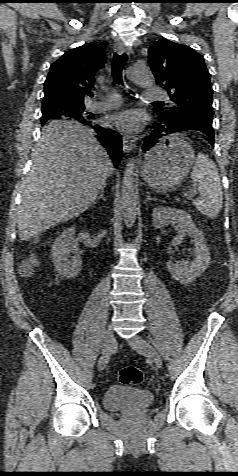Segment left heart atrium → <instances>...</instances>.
I'll list each match as a JSON object with an SVG mask.
<instances>
[{"label": "left heart atrium", "mask_w": 238, "mask_h": 476, "mask_svg": "<svg viewBox=\"0 0 238 476\" xmlns=\"http://www.w3.org/2000/svg\"><path fill=\"white\" fill-rule=\"evenodd\" d=\"M110 121L119 129L129 133L138 132L144 124L141 112L134 109L115 114L110 118Z\"/></svg>", "instance_id": "39dd6f15"}]
</instances>
